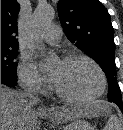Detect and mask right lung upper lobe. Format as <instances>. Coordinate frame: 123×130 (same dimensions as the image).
<instances>
[{
	"mask_svg": "<svg viewBox=\"0 0 123 130\" xmlns=\"http://www.w3.org/2000/svg\"><path fill=\"white\" fill-rule=\"evenodd\" d=\"M19 9L16 0H1V47L18 48L16 36Z\"/></svg>",
	"mask_w": 123,
	"mask_h": 130,
	"instance_id": "right-lung-upper-lobe-1",
	"label": "right lung upper lobe"
}]
</instances>
